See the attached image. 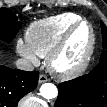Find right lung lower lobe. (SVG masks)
<instances>
[{
  "label": "right lung lower lobe",
  "mask_w": 107,
  "mask_h": 107,
  "mask_svg": "<svg viewBox=\"0 0 107 107\" xmlns=\"http://www.w3.org/2000/svg\"><path fill=\"white\" fill-rule=\"evenodd\" d=\"M39 72L0 66V107H17L19 100L37 86Z\"/></svg>",
  "instance_id": "right-lung-lower-lobe-1"
}]
</instances>
